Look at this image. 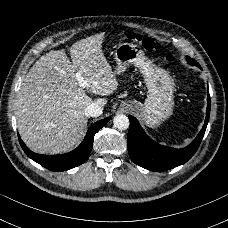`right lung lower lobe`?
Returning a JSON list of instances; mask_svg holds the SVG:
<instances>
[{"label":"right lung lower lobe","instance_id":"right-lung-lower-lobe-1","mask_svg":"<svg viewBox=\"0 0 228 228\" xmlns=\"http://www.w3.org/2000/svg\"><path fill=\"white\" fill-rule=\"evenodd\" d=\"M111 118H105L94 123L88 129V132L82 143L72 152L62 155H40L30 151L19 137L22 149L35 162L51 171H65L83 164L92 149L94 135L97 133Z\"/></svg>","mask_w":228,"mask_h":228}]
</instances>
